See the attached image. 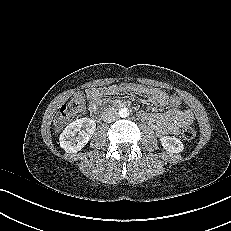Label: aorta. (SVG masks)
I'll return each instance as SVG.
<instances>
[{"label": "aorta", "mask_w": 231, "mask_h": 231, "mask_svg": "<svg viewBox=\"0 0 231 231\" xmlns=\"http://www.w3.org/2000/svg\"><path fill=\"white\" fill-rule=\"evenodd\" d=\"M119 116L122 117V118H126L129 116V109L126 108V107H123L119 110Z\"/></svg>", "instance_id": "1"}]
</instances>
